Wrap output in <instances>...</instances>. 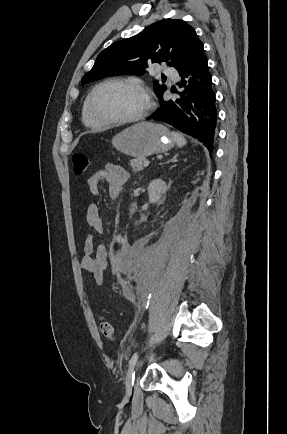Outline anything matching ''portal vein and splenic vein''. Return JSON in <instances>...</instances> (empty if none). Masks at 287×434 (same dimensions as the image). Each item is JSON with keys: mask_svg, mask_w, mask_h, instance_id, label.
<instances>
[{"mask_svg": "<svg viewBox=\"0 0 287 434\" xmlns=\"http://www.w3.org/2000/svg\"><path fill=\"white\" fill-rule=\"evenodd\" d=\"M148 165H149V161L145 159L144 162H143V166L147 167Z\"/></svg>", "mask_w": 287, "mask_h": 434, "instance_id": "1", "label": "portal vein and splenic vein"}]
</instances>
